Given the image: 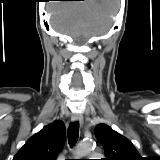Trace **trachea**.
<instances>
[{
    "instance_id": "1",
    "label": "trachea",
    "mask_w": 160,
    "mask_h": 160,
    "mask_svg": "<svg viewBox=\"0 0 160 160\" xmlns=\"http://www.w3.org/2000/svg\"><path fill=\"white\" fill-rule=\"evenodd\" d=\"M67 134H68L69 145L72 147L73 145H75V143L78 140L79 123L78 122H74V123L70 124V126L68 127Z\"/></svg>"
}]
</instances>
